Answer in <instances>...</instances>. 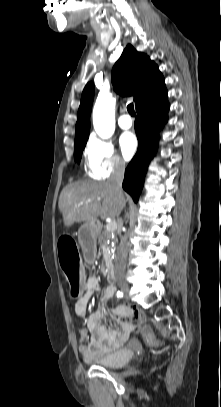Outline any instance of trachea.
Here are the masks:
<instances>
[{
  "label": "trachea",
  "mask_w": 221,
  "mask_h": 407,
  "mask_svg": "<svg viewBox=\"0 0 221 407\" xmlns=\"http://www.w3.org/2000/svg\"><path fill=\"white\" fill-rule=\"evenodd\" d=\"M127 110H128V112H129V114H130L131 116H135V110H134V105H133V103H130V104L127 106Z\"/></svg>",
  "instance_id": "trachea-1"
}]
</instances>
